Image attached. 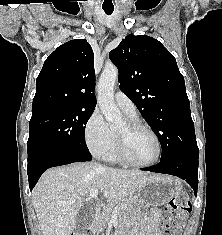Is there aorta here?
Listing matches in <instances>:
<instances>
[{"instance_id": "762f6f07", "label": "aorta", "mask_w": 222, "mask_h": 235, "mask_svg": "<svg viewBox=\"0 0 222 235\" xmlns=\"http://www.w3.org/2000/svg\"><path fill=\"white\" fill-rule=\"evenodd\" d=\"M118 78L115 66H106L98 82V104L108 123L117 125L123 116L114 103V86Z\"/></svg>"}]
</instances>
